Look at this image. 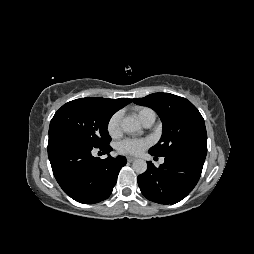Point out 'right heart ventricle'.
Instances as JSON below:
<instances>
[{
    "mask_svg": "<svg viewBox=\"0 0 254 254\" xmlns=\"http://www.w3.org/2000/svg\"><path fill=\"white\" fill-rule=\"evenodd\" d=\"M135 112L141 123L148 118H153L155 120V112L150 108L138 107L135 109Z\"/></svg>",
    "mask_w": 254,
    "mask_h": 254,
    "instance_id": "right-heart-ventricle-1",
    "label": "right heart ventricle"
}]
</instances>
